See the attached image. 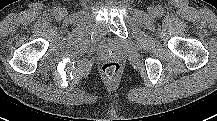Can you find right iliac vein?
Returning <instances> with one entry per match:
<instances>
[{"mask_svg":"<svg viewBox=\"0 0 217 121\" xmlns=\"http://www.w3.org/2000/svg\"><path fill=\"white\" fill-rule=\"evenodd\" d=\"M59 15H60L61 17H64V16L67 15V11H66L65 9H61V10H59Z\"/></svg>","mask_w":217,"mask_h":121,"instance_id":"right-iliac-vein-1","label":"right iliac vein"}]
</instances>
